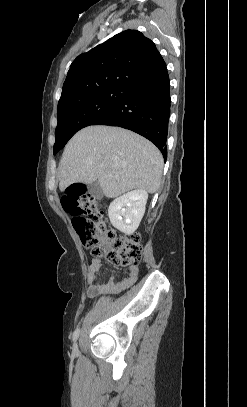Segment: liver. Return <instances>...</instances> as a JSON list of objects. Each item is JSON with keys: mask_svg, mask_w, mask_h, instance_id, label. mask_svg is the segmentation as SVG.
<instances>
[{"mask_svg": "<svg viewBox=\"0 0 247 407\" xmlns=\"http://www.w3.org/2000/svg\"><path fill=\"white\" fill-rule=\"evenodd\" d=\"M163 157L144 137L110 126H89L77 132L66 145L59 165V189L73 183L98 181L108 198L132 189L150 194L159 186Z\"/></svg>", "mask_w": 247, "mask_h": 407, "instance_id": "6515ba94", "label": "liver"}]
</instances>
